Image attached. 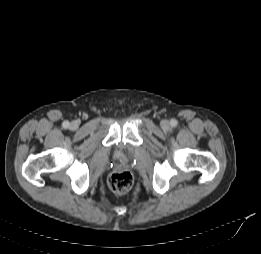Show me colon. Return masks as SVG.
Wrapping results in <instances>:
<instances>
[{
    "label": "colon",
    "instance_id": "5ec220e1",
    "mask_svg": "<svg viewBox=\"0 0 261 254\" xmlns=\"http://www.w3.org/2000/svg\"><path fill=\"white\" fill-rule=\"evenodd\" d=\"M108 183L115 193L125 194L133 184V177L129 171H116L110 175Z\"/></svg>",
    "mask_w": 261,
    "mask_h": 254
}]
</instances>
